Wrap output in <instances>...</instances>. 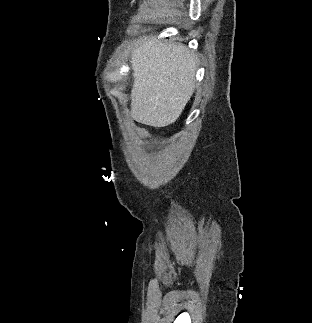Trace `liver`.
<instances>
[{
  "mask_svg": "<svg viewBox=\"0 0 312 323\" xmlns=\"http://www.w3.org/2000/svg\"><path fill=\"white\" fill-rule=\"evenodd\" d=\"M130 62L131 118L154 128L174 124L196 88L195 56L181 44L143 36Z\"/></svg>",
  "mask_w": 312,
  "mask_h": 323,
  "instance_id": "obj_1",
  "label": "liver"
}]
</instances>
